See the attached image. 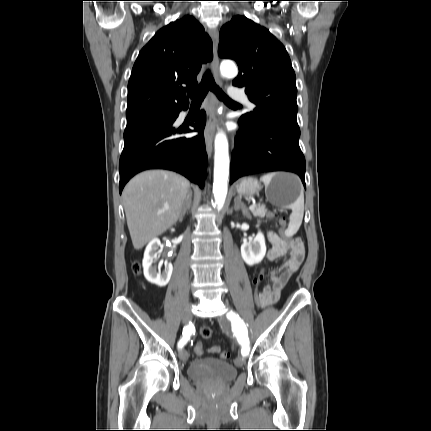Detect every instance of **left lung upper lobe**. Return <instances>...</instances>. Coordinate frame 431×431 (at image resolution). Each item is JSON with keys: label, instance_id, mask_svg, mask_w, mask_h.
I'll list each match as a JSON object with an SVG mask.
<instances>
[{"label": "left lung upper lobe", "instance_id": "5c2ea615", "mask_svg": "<svg viewBox=\"0 0 431 431\" xmlns=\"http://www.w3.org/2000/svg\"><path fill=\"white\" fill-rule=\"evenodd\" d=\"M218 54L237 62L233 85L243 87L257 105L238 123L249 128L276 120L298 126L295 73L285 47L266 28L236 16L220 31Z\"/></svg>", "mask_w": 431, "mask_h": 431}]
</instances>
